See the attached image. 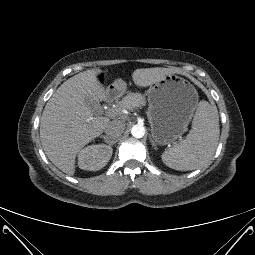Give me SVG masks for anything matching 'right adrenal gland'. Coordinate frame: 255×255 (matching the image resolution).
Masks as SVG:
<instances>
[{
	"instance_id": "right-adrenal-gland-1",
	"label": "right adrenal gland",
	"mask_w": 255,
	"mask_h": 255,
	"mask_svg": "<svg viewBox=\"0 0 255 255\" xmlns=\"http://www.w3.org/2000/svg\"><path fill=\"white\" fill-rule=\"evenodd\" d=\"M100 138H103L104 139V142L105 143H108L109 144V146H111L112 144H110L109 142H108V140H107V137L106 136H100Z\"/></svg>"
}]
</instances>
